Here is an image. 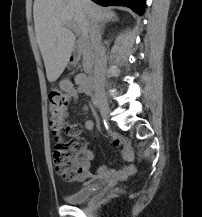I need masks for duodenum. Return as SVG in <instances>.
Listing matches in <instances>:
<instances>
[{
    "instance_id": "1",
    "label": "duodenum",
    "mask_w": 202,
    "mask_h": 217,
    "mask_svg": "<svg viewBox=\"0 0 202 217\" xmlns=\"http://www.w3.org/2000/svg\"><path fill=\"white\" fill-rule=\"evenodd\" d=\"M81 56H82V52L79 49L74 48V50L72 51V54H71V61L75 62L78 59H80ZM81 84H82V87L85 90V92H87V93L91 92L92 82L90 79H88L87 77L82 75Z\"/></svg>"
}]
</instances>
